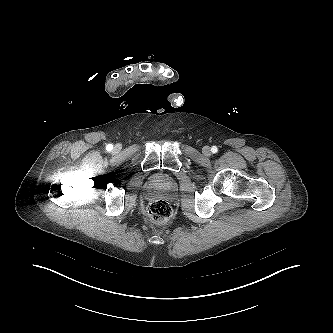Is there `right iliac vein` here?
I'll list each match as a JSON object with an SVG mask.
<instances>
[{
    "mask_svg": "<svg viewBox=\"0 0 333 333\" xmlns=\"http://www.w3.org/2000/svg\"><path fill=\"white\" fill-rule=\"evenodd\" d=\"M114 150H118V146H115Z\"/></svg>",
    "mask_w": 333,
    "mask_h": 333,
    "instance_id": "right-iliac-vein-1",
    "label": "right iliac vein"
}]
</instances>
